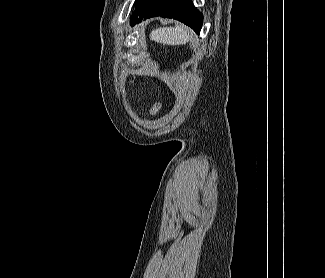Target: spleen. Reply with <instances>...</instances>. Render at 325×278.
Masks as SVG:
<instances>
[{"label": "spleen", "instance_id": "spleen-1", "mask_svg": "<svg viewBox=\"0 0 325 278\" xmlns=\"http://www.w3.org/2000/svg\"><path fill=\"white\" fill-rule=\"evenodd\" d=\"M190 37V31L183 26L160 27L150 34V40L163 45H183L189 41Z\"/></svg>", "mask_w": 325, "mask_h": 278}]
</instances>
